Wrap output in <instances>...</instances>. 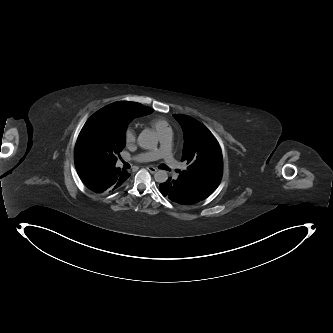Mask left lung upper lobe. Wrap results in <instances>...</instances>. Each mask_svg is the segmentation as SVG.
Returning <instances> with one entry per match:
<instances>
[{
  "instance_id": "5c2ea615",
  "label": "left lung upper lobe",
  "mask_w": 333,
  "mask_h": 333,
  "mask_svg": "<svg viewBox=\"0 0 333 333\" xmlns=\"http://www.w3.org/2000/svg\"><path fill=\"white\" fill-rule=\"evenodd\" d=\"M184 132L182 161L187 164L175 178L201 199H206L218 187L223 171V158L211 132L195 119L173 115Z\"/></svg>"
}]
</instances>
